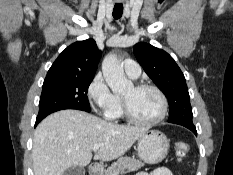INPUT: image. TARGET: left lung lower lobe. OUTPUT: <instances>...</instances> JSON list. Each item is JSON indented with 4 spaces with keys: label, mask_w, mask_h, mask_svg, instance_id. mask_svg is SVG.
<instances>
[{
    "label": "left lung lower lobe",
    "mask_w": 233,
    "mask_h": 175,
    "mask_svg": "<svg viewBox=\"0 0 233 175\" xmlns=\"http://www.w3.org/2000/svg\"><path fill=\"white\" fill-rule=\"evenodd\" d=\"M188 129H190L195 135H197L196 127L193 125H182Z\"/></svg>",
    "instance_id": "obj_1"
}]
</instances>
